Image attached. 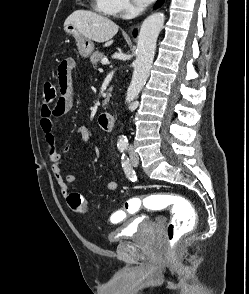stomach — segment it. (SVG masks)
<instances>
[{
  "instance_id": "1",
  "label": "stomach",
  "mask_w": 249,
  "mask_h": 294,
  "mask_svg": "<svg viewBox=\"0 0 249 294\" xmlns=\"http://www.w3.org/2000/svg\"><path fill=\"white\" fill-rule=\"evenodd\" d=\"M64 31L68 35H73L77 42V47L79 54L83 58L89 57L93 50H94V44L91 40L85 38L82 34L78 32L75 26L68 24L64 26Z\"/></svg>"
}]
</instances>
